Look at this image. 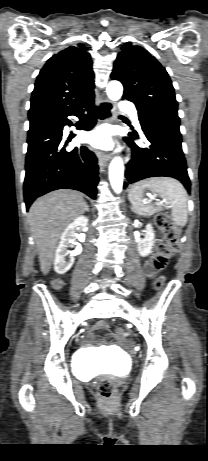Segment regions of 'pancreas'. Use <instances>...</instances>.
Wrapping results in <instances>:
<instances>
[{
	"label": "pancreas",
	"instance_id": "pancreas-1",
	"mask_svg": "<svg viewBox=\"0 0 208 461\" xmlns=\"http://www.w3.org/2000/svg\"><path fill=\"white\" fill-rule=\"evenodd\" d=\"M156 209H157V210H160V209H161V207H157Z\"/></svg>",
	"mask_w": 208,
	"mask_h": 461
}]
</instances>
